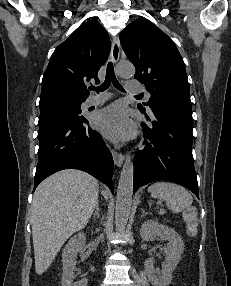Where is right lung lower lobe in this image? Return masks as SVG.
I'll return each mask as SVG.
<instances>
[{
    "label": "right lung lower lobe",
    "mask_w": 231,
    "mask_h": 286,
    "mask_svg": "<svg viewBox=\"0 0 231 286\" xmlns=\"http://www.w3.org/2000/svg\"><path fill=\"white\" fill-rule=\"evenodd\" d=\"M38 165L34 189L49 175L63 169H79L105 183L113 192V158L101 135L89 121L65 119L39 128Z\"/></svg>",
    "instance_id": "obj_1"
}]
</instances>
